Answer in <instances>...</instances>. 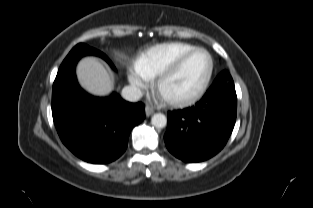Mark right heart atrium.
I'll list each match as a JSON object with an SVG mask.
<instances>
[{"label":"right heart atrium","mask_w":313,"mask_h":208,"mask_svg":"<svg viewBox=\"0 0 313 208\" xmlns=\"http://www.w3.org/2000/svg\"><path fill=\"white\" fill-rule=\"evenodd\" d=\"M131 84L137 88H144L147 83V79L143 78L138 73H132L129 77Z\"/></svg>","instance_id":"obj_1"}]
</instances>
